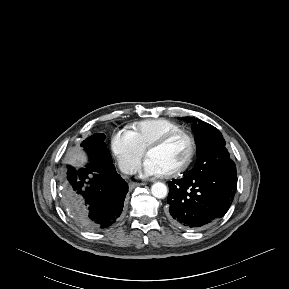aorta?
Listing matches in <instances>:
<instances>
[{
  "label": "aorta",
  "mask_w": 289,
  "mask_h": 289,
  "mask_svg": "<svg viewBox=\"0 0 289 289\" xmlns=\"http://www.w3.org/2000/svg\"><path fill=\"white\" fill-rule=\"evenodd\" d=\"M151 193L155 198L163 199L167 196V187L164 183L156 182L151 187Z\"/></svg>",
  "instance_id": "obj_1"
}]
</instances>
